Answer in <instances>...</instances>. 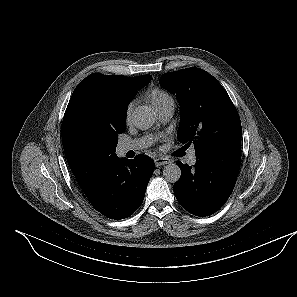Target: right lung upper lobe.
Here are the masks:
<instances>
[{"label": "right lung upper lobe", "instance_id": "1", "mask_svg": "<svg viewBox=\"0 0 297 297\" xmlns=\"http://www.w3.org/2000/svg\"><path fill=\"white\" fill-rule=\"evenodd\" d=\"M151 75L125 77L94 73L75 88L62 123V143L68 164L86 193L106 164L116 157L100 150L95 132L126 119L130 101Z\"/></svg>", "mask_w": 297, "mask_h": 297}]
</instances>
